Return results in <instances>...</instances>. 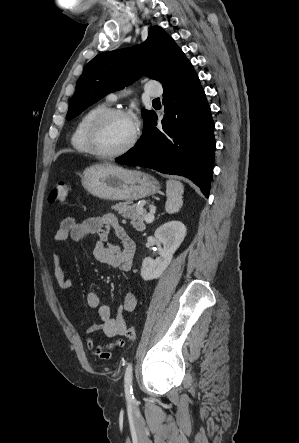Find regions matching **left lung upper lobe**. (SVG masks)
Wrapping results in <instances>:
<instances>
[{
	"label": "left lung upper lobe",
	"mask_w": 299,
	"mask_h": 443,
	"mask_svg": "<svg viewBox=\"0 0 299 443\" xmlns=\"http://www.w3.org/2000/svg\"><path fill=\"white\" fill-rule=\"evenodd\" d=\"M189 65L174 40L162 28L153 27L143 44L101 53L86 65L69 102L66 119H73L108 93L127 86L142 75L166 85ZM153 113L142 109L144 123Z\"/></svg>",
	"instance_id": "obj_1"
}]
</instances>
